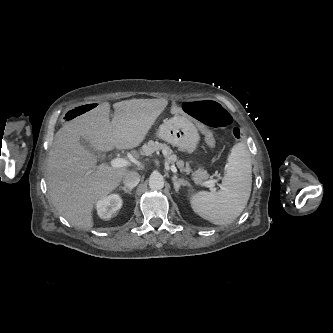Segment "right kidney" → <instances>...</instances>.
Masks as SVG:
<instances>
[{
    "label": "right kidney",
    "instance_id": "right-kidney-1",
    "mask_svg": "<svg viewBox=\"0 0 333 333\" xmlns=\"http://www.w3.org/2000/svg\"><path fill=\"white\" fill-rule=\"evenodd\" d=\"M122 198L118 194L104 196L97 201L96 209L101 219L109 220L122 206Z\"/></svg>",
    "mask_w": 333,
    "mask_h": 333
}]
</instances>
